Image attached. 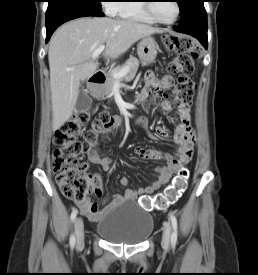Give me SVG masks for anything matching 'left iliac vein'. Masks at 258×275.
Masks as SVG:
<instances>
[{
    "mask_svg": "<svg viewBox=\"0 0 258 275\" xmlns=\"http://www.w3.org/2000/svg\"><path fill=\"white\" fill-rule=\"evenodd\" d=\"M170 235H171V225L169 222L166 221L163 226V235H162V247L165 250L169 249Z\"/></svg>",
    "mask_w": 258,
    "mask_h": 275,
    "instance_id": "left-iliac-vein-1",
    "label": "left iliac vein"
}]
</instances>
